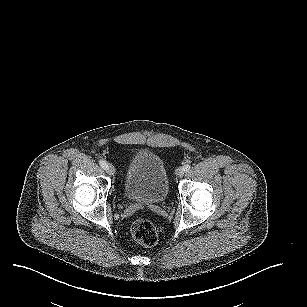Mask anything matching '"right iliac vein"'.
Here are the masks:
<instances>
[{"instance_id": "right-iliac-vein-1", "label": "right iliac vein", "mask_w": 307, "mask_h": 307, "mask_svg": "<svg viewBox=\"0 0 307 307\" xmlns=\"http://www.w3.org/2000/svg\"><path fill=\"white\" fill-rule=\"evenodd\" d=\"M106 171L109 175H114L115 174V167L113 164L108 163L106 167Z\"/></svg>"}]
</instances>
